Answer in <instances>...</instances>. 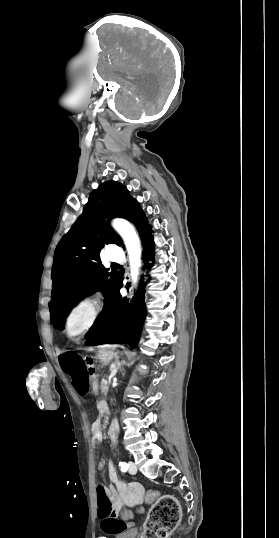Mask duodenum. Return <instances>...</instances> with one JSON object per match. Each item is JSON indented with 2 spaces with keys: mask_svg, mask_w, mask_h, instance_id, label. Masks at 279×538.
<instances>
[{
  "mask_svg": "<svg viewBox=\"0 0 279 538\" xmlns=\"http://www.w3.org/2000/svg\"><path fill=\"white\" fill-rule=\"evenodd\" d=\"M90 376L92 377V390H97V386L99 385L97 373L95 371H92L90 373ZM106 402L103 400V397H100V401H98V405L96 406V409L99 411L101 415H105L108 413V410L105 409Z\"/></svg>",
  "mask_w": 279,
  "mask_h": 538,
  "instance_id": "obj_1",
  "label": "duodenum"
}]
</instances>
